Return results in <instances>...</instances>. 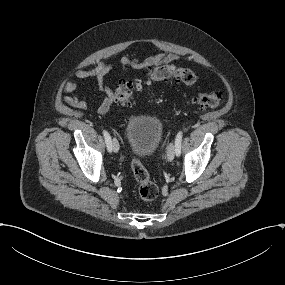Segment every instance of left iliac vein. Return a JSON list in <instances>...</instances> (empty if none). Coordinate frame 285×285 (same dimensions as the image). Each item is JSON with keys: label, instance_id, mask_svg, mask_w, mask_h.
I'll return each mask as SVG.
<instances>
[{"label": "left iliac vein", "instance_id": "1", "mask_svg": "<svg viewBox=\"0 0 285 285\" xmlns=\"http://www.w3.org/2000/svg\"><path fill=\"white\" fill-rule=\"evenodd\" d=\"M175 155H177L176 148L173 143H170V145L168 146V150H167V160L172 161Z\"/></svg>", "mask_w": 285, "mask_h": 285}]
</instances>
